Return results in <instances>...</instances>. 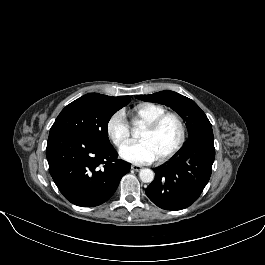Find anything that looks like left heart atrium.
I'll list each match as a JSON object with an SVG mask.
<instances>
[{
  "label": "left heart atrium",
  "instance_id": "1",
  "mask_svg": "<svg viewBox=\"0 0 265 265\" xmlns=\"http://www.w3.org/2000/svg\"><path fill=\"white\" fill-rule=\"evenodd\" d=\"M120 156L133 163H149L158 158L151 145L146 141L125 145L120 150Z\"/></svg>",
  "mask_w": 265,
  "mask_h": 265
}]
</instances>
